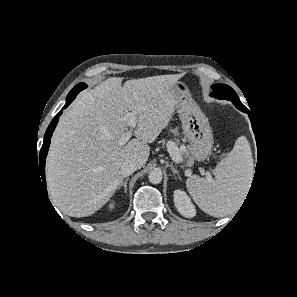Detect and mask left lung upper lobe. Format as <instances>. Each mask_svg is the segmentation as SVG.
<instances>
[{
    "instance_id": "5c2ea615",
    "label": "left lung upper lobe",
    "mask_w": 297,
    "mask_h": 297,
    "mask_svg": "<svg viewBox=\"0 0 297 297\" xmlns=\"http://www.w3.org/2000/svg\"><path fill=\"white\" fill-rule=\"evenodd\" d=\"M213 92L211 96L218 99H226L232 101L235 106H244L236 92L228 85L225 84H215L212 86ZM245 107V106H244Z\"/></svg>"
}]
</instances>
